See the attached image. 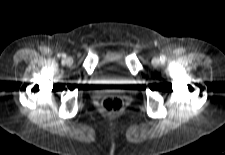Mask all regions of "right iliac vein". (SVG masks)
<instances>
[{
  "instance_id": "1",
  "label": "right iliac vein",
  "mask_w": 225,
  "mask_h": 155,
  "mask_svg": "<svg viewBox=\"0 0 225 155\" xmlns=\"http://www.w3.org/2000/svg\"><path fill=\"white\" fill-rule=\"evenodd\" d=\"M65 62H66L67 65H72L73 59H72L71 57H67V58L65 59Z\"/></svg>"
}]
</instances>
